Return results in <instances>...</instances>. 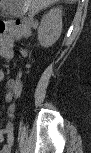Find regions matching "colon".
Instances as JSON below:
<instances>
[{"instance_id":"1","label":"colon","mask_w":91,"mask_h":153,"mask_svg":"<svg viewBox=\"0 0 91 153\" xmlns=\"http://www.w3.org/2000/svg\"><path fill=\"white\" fill-rule=\"evenodd\" d=\"M32 25V18L26 17L22 20H17L16 23H12L11 25H6L7 33L3 34L1 37V43L4 46H11V41L15 38L12 36V32L16 28H28Z\"/></svg>"}]
</instances>
